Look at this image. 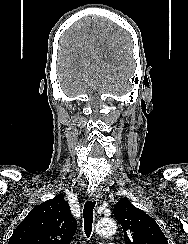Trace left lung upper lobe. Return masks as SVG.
Listing matches in <instances>:
<instances>
[{
  "label": "left lung upper lobe",
  "instance_id": "obj_1",
  "mask_svg": "<svg viewBox=\"0 0 188 244\" xmlns=\"http://www.w3.org/2000/svg\"><path fill=\"white\" fill-rule=\"evenodd\" d=\"M114 215L123 228L126 244H168L155 220L128 199L117 202Z\"/></svg>",
  "mask_w": 188,
  "mask_h": 244
}]
</instances>
